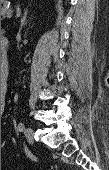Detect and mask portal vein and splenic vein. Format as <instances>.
Segmentation results:
<instances>
[{
	"mask_svg": "<svg viewBox=\"0 0 109 170\" xmlns=\"http://www.w3.org/2000/svg\"><path fill=\"white\" fill-rule=\"evenodd\" d=\"M7 17H8V18H11V17H12V13H10Z\"/></svg>",
	"mask_w": 109,
	"mask_h": 170,
	"instance_id": "1",
	"label": "portal vein and splenic vein"
}]
</instances>
